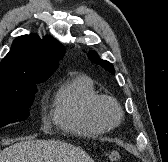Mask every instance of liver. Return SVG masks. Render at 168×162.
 <instances>
[{
  "mask_svg": "<svg viewBox=\"0 0 168 162\" xmlns=\"http://www.w3.org/2000/svg\"><path fill=\"white\" fill-rule=\"evenodd\" d=\"M0 162H94L85 151L55 140L21 141L0 151Z\"/></svg>",
  "mask_w": 168,
  "mask_h": 162,
  "instance_id": "liver-1",
  "label": "liver"
}]
</instances>
